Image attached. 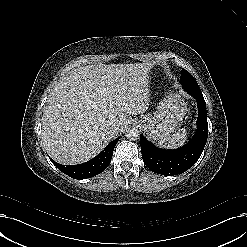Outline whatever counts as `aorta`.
<instances>
[{
	"instance_id": "1",
	"label": "aorta",
	"mask_w": 247,
	"mask_h": 247,
	"mask_svg": "<svg viewBox=\"0 0 247 247\" xmlns=\"http://www.w3.org/2000/svg\"><path fill=\"white\" fill-rule=\"evenodd\" d=\"M139 130L137 128H129L127 131H126V138L131 140V141H135L137 139H139Z\"/></svg>"
}]
</instances>
